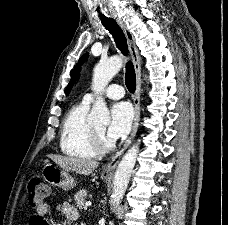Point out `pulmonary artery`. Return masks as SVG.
I'll return each mask as SVG.
<instances>
[{
  "instance_id": "1",
  "label": "pulmonary artery",
  "mask_w": 228,
  "mask_h": 225,
  "mask_svg": "<svg viewBox=\"0 0 228 225\" xmlns=\"http://www.w3.org/2000/svg\"><path fill=\"white\" fill-rule=\"evenodd\" d=\"M106 96L110 99H119L124 96V89L119 85H109L106 91ZM83 101L91 103L93 101V94L87 93L83 96Z\"/></svg>"
}]
</instances>
